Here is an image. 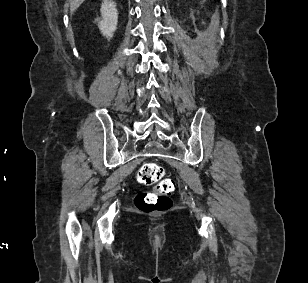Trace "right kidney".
<instances>
[{
    "mask_svg": "<svg viewBox=\"0 0 308 283\" xmlns=\"http://www.w3.org/2000/svg\"><path fill=\"white\" fill-rule=\"evenodd\" d=\"M100 11L102 19L99 21L98 27L103 36L110 39L113 37L118 23V12L115 2L112 0H103Z\"/></svg>",
    "mask_w": 308,
    "mask_h": 283,
    "instance_id": "obj_1",
    "label": "right kidney"
}]
</instances>
